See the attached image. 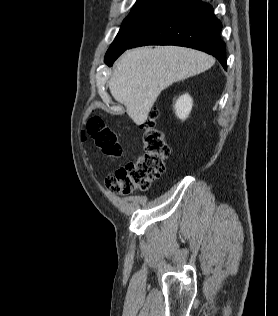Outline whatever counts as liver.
<instances>
[{
	"label": "liver",
	"mask_w": 278,
	"mask_h": 316,
	"mask_svg": "<svg viewBox=\"0 0 278 316\" xmlns=\"http://www.w3.org/2000/svg\"><path fill=\"white\" fill-rule=\"evenodd\" d=\"M214 63L210 55L183 47L136 48L119 59L109 80V89L139 125L146 121L164 89L208 70Z\"/></svg>",
	"instance_id": "1"
}]
</instances>
